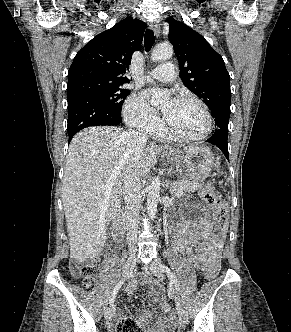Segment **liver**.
Segmentation results:
<instances>
[{
    "label": "liver",
    "mask_w": 291,
    "mask_h": 332,
    "mask_svg": "<svg viewBox=\"0 0 291 332\" xmlns=\"http://www.w3.org/2000/svg\"><path fill=\"white\" fill-rule=\"evenodd\" d=\"M133 149L129 132L117 127H89L73 137L62 185L70 258L84 262L100 255L107 226L120 212L123 178ZM166 149L145 144L135 151L140 179L148 176Z\"/></svg>",
    "instance_id": "6515ba94"
}]
</instances>
